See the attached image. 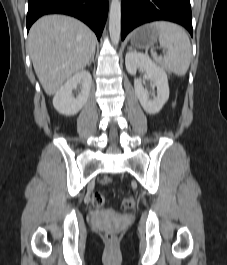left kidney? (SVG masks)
Masks as SVG:
<instances>
[{
	"instance_id": "obj_1",
	"label": "left kidney",
	"mask_w": 227,
	"mask_h": 265,
	"mask_svg": "<svg viewBox=\"0 0 227 265\" xmlns=\"http://www.w3.org/2000/svg\"><path fill=\"white\" fill-rule=\"evenodd\" d=\"M125 65L128 73L135 76L137 69H144L149 79L157 87V95L152 98L144 89L141 80H134V90L143 109L148 114H157L169 98V85L166 71L163 67L157 65L149 56L129 51L125 56Z\"/></svg>"
}]
</instances>
